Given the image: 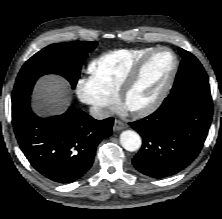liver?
<instances>
[{"label": "liver", "mask_w": 222, "mask_h": 219, "mask_svg": "<svg viewBox=\"0 0 222 219\" xmlns=\"http://www.w3.org/2000/svg\"><path fill=\"white\" fill-rule=\"evenodd\" d=\"M34 99L37 109L51 114L62 113L71 101L68 83L59 76H44L36 84Z\"/></svg>", "instance_id": "liver-1"}]
</instances>
